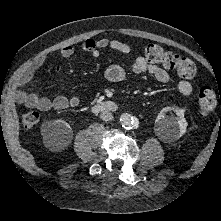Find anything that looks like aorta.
<instances>
[{"mask_svg": "<svg viewBox=\"0 0 221 221\" xmlns=\"http://www.w3.org/2000/svg\"><path fill=\"white\" fill-rule=\"evenodd\" d=\"M120 123L126 129H132L138 127V119L128 113H123L120 116Z\"/></svg>", "mask_w": 221, "mask_h": 221, "instance_id": "762f6f07", "label": "aorta"}]
</instances>
